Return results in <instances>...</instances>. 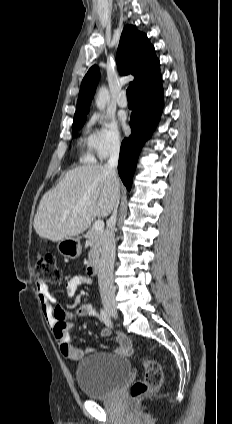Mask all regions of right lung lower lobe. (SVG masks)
I'll list each match as a JSON object with an SVG mask.
<instances>
[{"mask_svg":"<svg viewBox=\"0 0 232 424\" xmlns=\"http://www.w3.org/2000/svg\"><path fill=\"white\" fill-rule=\"evenodd\" d=\"M163 109L161 75L149 87L136 92V105L131 114L132 133L123 140L118 162L119 176L128 190L142 146L156 127Z\"/></svg>","mask_w":232,"mask_h":424,"instance_id":"98d812e1","label":"right lung lower lobe"}]
</instances>
